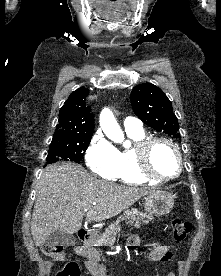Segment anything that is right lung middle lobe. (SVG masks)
<instances>
[{"label": "right lung middle lobe", "instance_id": "right-lung-middle-lobe-1", "mask_svg": "<svg viewBox=\"0 0 221 276\" xmlns=\"http://www.w3.org/2000/svg\"><path fill=\"white\" fill-rule=\"evenodd\" d=\"M90 141L91 137L52 140L46 158V164L57 161H81Z\"/></svg>", "mask_w": 221, "mask_h": 276}]
</instances>
